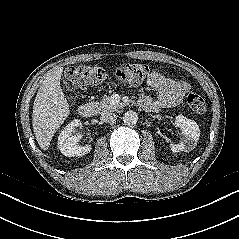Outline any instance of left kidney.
Returning a JSON list of instances; mask_svg holds the SVG:
<instances>
[{"label":"left kidney","instance_id":"1","mask_svg":"<svg viewBox=\"0 0 239 239\" xmlns=\"http://www.w3.org/2000/svg\"><path fill=\"white\" fill-rule=\"evenodd\" d=\"M175 123L182 130V135L185 137L184 142L180 144H170V148L173 152L192 151L199 140L200 129L197 123L182 115L176 117Z\"/></svg>","mask_w":239,"mask_h":239}]
</instances>
